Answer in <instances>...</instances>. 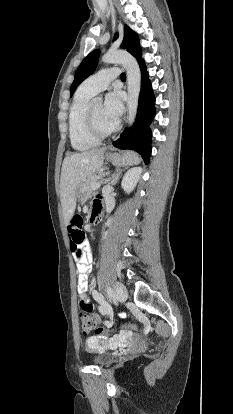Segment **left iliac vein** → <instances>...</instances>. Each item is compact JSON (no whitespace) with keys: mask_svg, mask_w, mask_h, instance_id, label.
I'll return each mask as SVG.
<instances>
[{"mask_svg":"<svg viewBox=\"0 0 233 414\" xmlns=\"http://www.w3.org/2000/svg\"><path fill=\"white\" fill-rule=\"evenodd\" d=\"M114 291H115V296L119 301L123 302L127 299L128 292H127L126 287L122 283L120 282L115 283Z\"/></svg>","mask_w":233,"mask_h":414,"instance_id":"left-iliac-vein-1","label":"left iliac vein"}]
</instances>
